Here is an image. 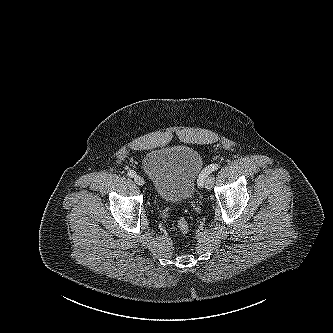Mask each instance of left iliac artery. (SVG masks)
Instances as JSON below:
<instances>
[{"mask_svg":"<svg viewBox=\"0 0 333 333\" xmlns=\"http://www.w3.org/2000/svg\"><path fill=\"white\" fill-rule=\"evenodd\" d=\"M219 168L218 164H211L209 166H207L200 174L199 176V180H198V184L199 186H203L204 185V181L207 178V176L212 173L213 171L217 170Z\"/></svg>","mask_w":333,"mask_h":333,"instance_id":"44dca946","label":"left iliac artery"}]
</instances>
